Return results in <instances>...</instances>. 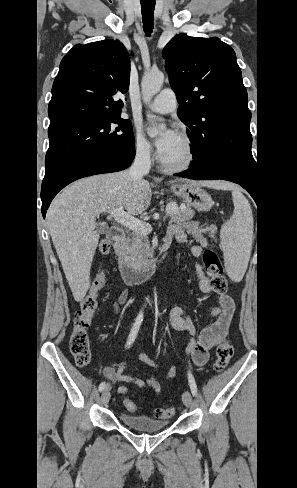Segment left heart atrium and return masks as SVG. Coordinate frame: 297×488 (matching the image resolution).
Instances as JSON below:
<instances>
[{
    "mask_svg": "<svg viewBox=\"0 0 297 488\" xmlns=\"http://www.w3.org/2000/svg\"><path fill=\"white\" fill-rule=\"evenodd\" d=\"M177 137V132L171 128L166 129L160 134V136L156 139V147L159 156H162L166 152V150Z\"/></svg>",
    "mask_w": 297,
    "mask_h": 488,
    "instance_id": "39dd6f15",
    "label": "left heart atrium"
}]
</instances>
